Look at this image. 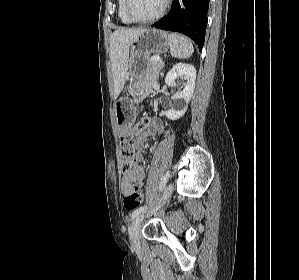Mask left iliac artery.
<instances>
[{
	"label": "left iliac artery",
	"instance_id": "44dca946",
	"mask_svg": "<svg viewBox=\"0 0 299 280\" xmlns=\"http://www.w3.org/2000/svg\"><path fill=\"white\" fill-rule=\"evenodd\" d=\"M170 177V170H168L165 175L163 176L161 183H160V191H162L166 185V182L168 181ZM147 208V206H142L138 209H136L132 214H131V219H134L136 216H138L141 212H143L145 209Z\"/></svg>",
	"mask_w": 299,
	"mask_h": 280
}]
</instances>
